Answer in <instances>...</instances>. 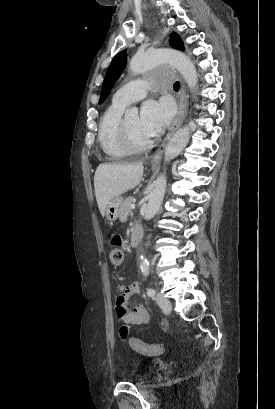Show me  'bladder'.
<instances>
[{"label": "bladder", "mask_w": 275, "mask_h": 409, "mask_svg": "<svg viewBox=\"0 0 275 409\" xmlns=\"http://www.w3.org/2000/svg\"><path fill=\"white\" fill-rule=\"evenodd\" d=\"M151 376H152L151 373H149V374H139V375L134 376L133 382L145 381L148 378H150Z\"/></svg>", "instance_id": "bladder-1"}]
</instances>
